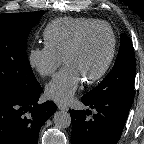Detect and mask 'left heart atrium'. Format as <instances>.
I'll use <instances>...</instances> for the list:
<instances>
[{"label": "left heart atrium", "mask_w": 144, "mask_h": 144, "mask_svg": "<svg viewBox=\"0 0 144 144\" xmlns=\"http://www.w3.org/2000/svg\"><path fill=\"white\" fill-rule=\"evenodd\" d=\"M83 78L71 65H66L46 86L47 96L57 102L66 103L78 90Z\"/></svg>", "instance_id": "39dd6f15"}]
</instances>
